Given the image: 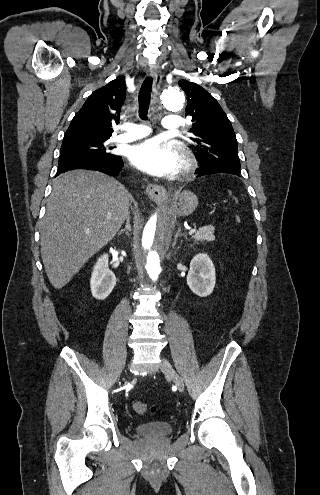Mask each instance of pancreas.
Returning <instances> with one entry per match:
<instances>
[{"label": "pancreas", "instance_id": "pancreas-1", "mask_svg": "<svg viewBox=\"0 0 320 495\" xmlns=\"http://www.w3.org/2000/svg\"><path fill=\"white\" fill-rule=\"evenodd\" d=\"M214 231H215L214 226L208 225L200 228L194 235H192V238L195 241L210 242L213 241L215 238Z\"/></svg>", "mask_w": 320, "mask_h": 495}]
</instances>
